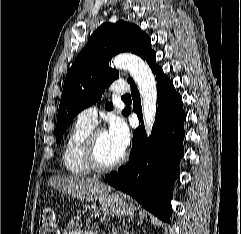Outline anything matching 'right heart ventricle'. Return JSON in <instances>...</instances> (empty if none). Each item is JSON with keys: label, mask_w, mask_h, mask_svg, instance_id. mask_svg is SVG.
Instances as JSON below:
<instances>
[{"label": "right heart ventricle", "mask_w": 241, "mask_h": 234, "mask_svg": "<svg viewBox=\"0 0 241 234\" xmlns=\"http://www.w3.org/2000/svg\"><path fill=\"white\" fill-rule=\"evenodd\" d=\"M93 127L77 120L67 134L62 159L65 169L71 175L87 176L93 172L84 158L85 141Z\"/></svg>", "instance_id": "1"}]
</instances>
